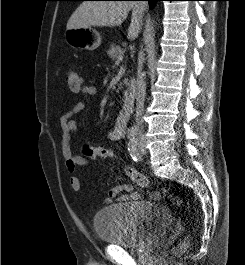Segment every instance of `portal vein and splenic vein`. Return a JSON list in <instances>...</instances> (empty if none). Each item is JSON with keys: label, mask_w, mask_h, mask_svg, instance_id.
Returning <instances> with one entry per match:
<instances>
[{"label": "portal vein and splenic vein", "mask_w": 245, "mask_h": 265, "mask_svg": "<svg viewBox=\"0 0 245 265\" xmlns=\"http://www.w3.org/2000/svg\"><path fill=\"white\" fill-rule=\"evenodd\" d=\"M123 60V54H119L116 58V63H120Z\"/></svg>", "instance_id": "1"}]
</instances>
